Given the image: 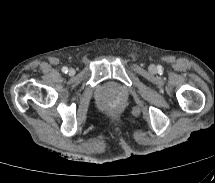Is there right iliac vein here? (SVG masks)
Segmentation results:
<instances>
[{
  "instance_id": "63e3f726",
  "label": "right iliac vein",
  "mask_w": 215,
  "mask_h": 183,
  "mask_svg": "<svg viewBox=\"0 0 215 183\" xmlns=\"http://www.w3.org/2000/svg\"><path fill=\"white\" fill-rule=\"evenodd\" d=\"M69 75L73 76L75 74V70L73 68L69 69Z\"/></svg>"
}]
</instances>
